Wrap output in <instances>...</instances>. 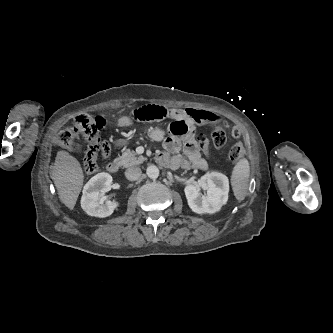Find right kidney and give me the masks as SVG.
Wrapping results in <instances>:
<instances>
[{"mask_svg": "<svg viewBox=\"0 0 333 333\" xmlns=\"http://www.w3.org/2000/svg\"><path fill=\"white\" fill-rule=\"evenodd\" d=\"M112 181L109 173L102 172L93 176L84 185L81 207L88 215L104 218L111 215L119 206L117 201H106L105 204L100 201L102 195L111 190Z\"/></svg>", "mask_w": 333, "mask_h": 333, "instance_id": "ca27d5eb", "label": "right kidney"}]
</instances>
